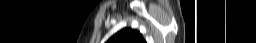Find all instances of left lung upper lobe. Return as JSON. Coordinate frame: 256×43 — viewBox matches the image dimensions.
<instances>
[{"mask_svg":"<svg viewBox=\"0 0 256 43\" xmlns=\"http://www.w3.org/2000/svg\"><path fill=\"white\" fill-rule=\"evenodd\" d=\"M107 43H146L142 35L131 28H126L115 34Z\"/></svg>","mask_w":256,"mask_h":43,"instance_id":"1","label":"left lung upper lobe"}]
</instances>
